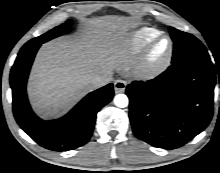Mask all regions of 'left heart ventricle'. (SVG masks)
Listing matches in <instances>:
<instances>
[{"label": "left heart ventricle", "instance_id": "b2bd125f", "mask_svg": "<svg viewBox=\"0 0 220 173\" xmlns=\"http://www.w3.org/2000/svg\"><path fill=\"white\" fill-rule=\"evenodd\" d=\"M166 48H167V42L166 41L160 42L151 53V61L152 62L160 61L166 52Z\"/></svg>", "mask_w": 220, "mask_h": 173}]
</instances>
